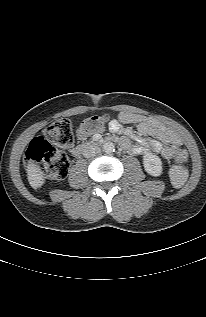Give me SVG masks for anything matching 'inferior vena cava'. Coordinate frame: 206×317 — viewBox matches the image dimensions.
I'll return each mask as SVG.
<instances>
[{"label":"inferior vena cava","instance_id":"1","mask_svg":"<svg viewBox=\"0 0 206 317\" xmlns=\"http://www.w3.org/2000/svg\"><path fill=\"white\" fill-rule=\"evenodd\" d=\"M100 153V148L96 145H86L83 149V156L85 158H91Z\"/></svg>","mask_w":206,"mask_h":317}]
</instances>
